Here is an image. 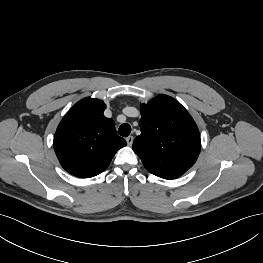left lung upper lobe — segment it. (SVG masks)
Wrapping results in <instances>:
<instances>
[{"instance_id": "1", "label": "left lung upper lobe", "mask_w": 263, "mask_h": 263, "mask_svg": "<svg viewBox=\"0 0 263 263\" xmlns=\"http://www.w3.org/2000/svg\"><path fill=\"white\" fill-rule=\"evenodd\" d=\"M140 130L134 152L152 174L183 175L196 162L201 148L199 130L187 110L174 98L160 94L141 105Z\"/></svg>"}]
</instances>
